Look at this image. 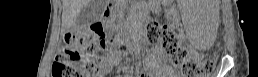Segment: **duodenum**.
I'll return each instance as SVG.
<instances>
[{
	"label": "duodenum",
	"mask_w": 258,
	"mask_h": 77,
	"mask_svg": "<svg viewBox=\"0 0 258 77\" xmlns=\"http://www.w3.org/2000/svg\"><path fill=\"white\" fill-rule=\"evenodd\" d=\"M107 14H108V8H106V12H105V15H107ZM121 40L123 41L124 39H121ZM116 43L120 45L121 41L118 39V41H116Z\"/></svg>",
	"instance_id": "410a0bca"
}]
</instances>
